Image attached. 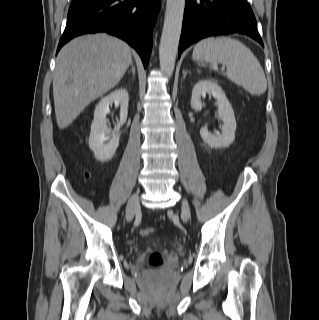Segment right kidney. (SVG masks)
Here are the masks:
<instances>
[{"label":"right kidney","instance_id":"obj_1","mask_svg":"<svg viewBox=\"0 0 319 320\" xmlns=\"http://www.w3.org/2000/svg\"><path fill=\"white\" fill-rule=\"evenodd\" d=\"M129 95L126 89L119 88L102 98L94 111V120L91 125L89 147L99 161H108L115 154L120 138V128L125 124L128 115ZM115 104L120 107V120L110 136V130L106 125V114L109 106ZM108 141V143H105Z\"/></svg>","mask_w":319,"mask_h":320}]
</instances>
